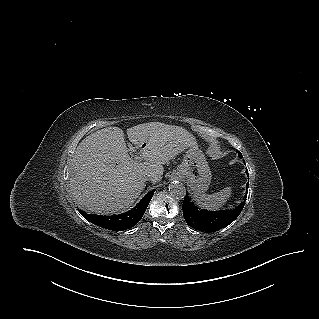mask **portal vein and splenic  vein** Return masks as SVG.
I'll use <instances>...</instances> for the list:
<instances>
[{"label":"portal vein and splenic vein","mask_w":319,"mask_h":319,"mask_svg":"<svg viewBox=\"0 0 319 319\" xmlns=\"http://www.w3.org/2000/svg\"><path fill=\"white\" fill-rule=\"evenodd\" d=\"M131 149H133V147H131ZM141 158L137 159L136 161L139 162Z\"/></svg>","instance_id":"portal-vein-and-splenic-vein-1"}]
</instances>
